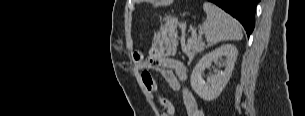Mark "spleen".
Listing matches in <instances>:
<instances>
[{
  "label": "spleen",
  "mask_w": 305,
  "mask_h": 116,
  "mask_svg": "<svg viewBox=\"0 0 305 116\" xmlns=\"http://www.w3.org/2000/svg\"><path fill=\"white\" fill-rule=\"evenodd\" d=\"M203 9L207 15L203 31L208 44L242 39V27L236 19L210 2H205Z\"/></svg>",
  "instance_id": "obj_1"
}]
</instances>
